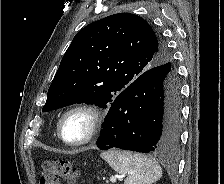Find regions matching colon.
Here are the masks:
<instances>
[{
    "instance_id": "5ec220e1",
    "label": "colon",
    "mask_w": 224,
    "mask_h": 184,
    "mask_svg": "<svg viewBox=\"0 0 224 184\" xmlns=\"http://www.w3.org/2000/svg\"><path fill=\"white\" fill-rule=\"evenodd\" d=\"M79 175V170L68 161L45 162L41 168L39 184H60L61 179L74 184Z\"/></svg>"
}]
</instances>
